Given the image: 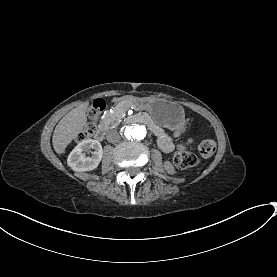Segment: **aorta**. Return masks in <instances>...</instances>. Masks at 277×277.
Returning <instances> with one entry per match:
<instances>
[{
    "instance_id": "obj_1",
    "label": "aorta",
    "mask_w": 277,
    "mask_h": 277,
    "mask_svg": "<svg viewBox=\"0 0 277 277\" xmlns=\"http://www.w3.org/2000/svg\"><path fill=\"white\" fill-rule=\"evenodd\" d=\"M122 134L129 140H142L147 134L146 127L141 124H128L122 129Z\"/></svg>"
}]
</instances>
